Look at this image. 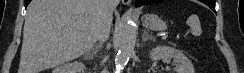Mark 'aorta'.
Returning a JSON list of instances; mask_svg holds the SVG:
<instances>
[{"mask_svg":"<svg viewBox=\"0 0 244 73\" xmlns=\"http://www.w3.org/2000/svg\"><path fill=\"white\" fill-rule=\"evenodd\" d=\"M136 42V29L129 17L123 18L122 33L116 56V70L119 73L128 62L133 53Z\"/></svg>","mask_w":244,"mask_h":73,"instance_id":"obj_1","label":"aorta"}]
</instances>
